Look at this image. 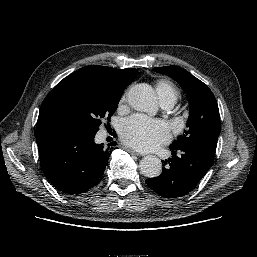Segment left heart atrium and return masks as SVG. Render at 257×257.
<instances>
[{
  "mask_svg": "<svg viewBox=\"0 0 257 257\" xmlns=\"http://www.w3.org/2000/svg\"><path fill=\"white\" fill-rule=\"evenodd\" d=\"M122 141L139 151H152L170 140L168 125L161 121L142 115L126 118L120 129Z\"/></svg>",
  "mask_w": 257,
  "mask_h": 257,
  "instance_id": "left-heart-atrium-1",
  "label": "left heart atrium"
}]
</instances>
